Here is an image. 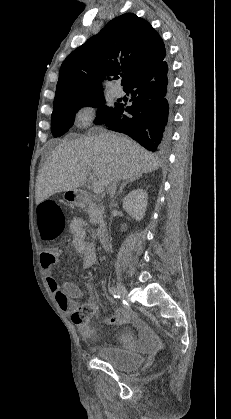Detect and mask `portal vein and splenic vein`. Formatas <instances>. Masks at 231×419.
Wrapping results in <instances>:
<instances>
[{"instance_id":"1","label":"portal vein and splenic vein","mask_w":231,"mask_h":419,"mask_svg":"<svg viewBox=\"0 0 231 419\" xmlns=\"http://www.w3.org/2000/svg\"><path fill=\"white\" fill-rule=\"evenodd\" d=\"M103 189H104V186H103V184H102L101 181L98 180V181H95L93 183V191H94V193L100 194L103 191Z\"/></svg>"}]
</instances>
